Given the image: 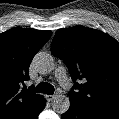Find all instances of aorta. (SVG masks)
<instances>
[{
  "mask_svg": "<svg viewBox=\"0 0 119 119\" xmlns=\"http://www.w3.org/2000/svg\"><path fill=\"white\" fill-rule=\"evenodd\" d=\"M34 64L37 71L41 74H47L52 71L54 66V60L52 56L47 52H39L34 58ZM69 100L63 95H58L53 103L52 108L57 113H65L69 109Z\"/></svg>",
  "mask_w": 119,
  "mask_h": 119,
  "instance_id": "aorta-1",
  "label": "aorta"
}]
</instances>
